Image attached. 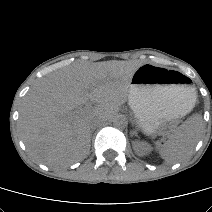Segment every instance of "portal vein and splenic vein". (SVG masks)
<instances>
[{"mask_svg": "<svg viewBox=\"0 0 212 212\" xmlns=\"http://www.w3.org/2000/svg\"><path fill=\"white\" fill-rule=\"evenodd\" d=\"M80 112H81L80 110L76 111V113H80Z\"/></svg>", "mask_w": 212, "mask_h": 212, "instance_id": "18ae733b", "label": "portal vein and splenic vein"}]
</instances>
